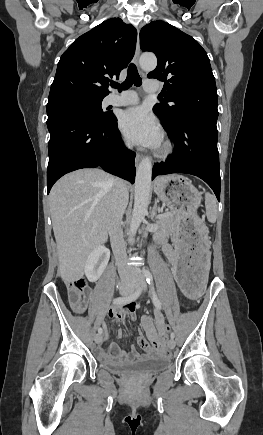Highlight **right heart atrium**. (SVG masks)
<instances>
[{"mask_svg": "<svg viewBox=\"0 0 263 435\" xmlns=\"http://www.w3.org/2000/svg\"><path fill=\"white\" fill-rule=\"evenodd\" d=\"M124 145H125V146H128L126 142H124Z\"/></svg>", "mask_w": 263, "mask_h": 435, "instance_id": "1", "label": "right heart atrium"}]
</instances>
